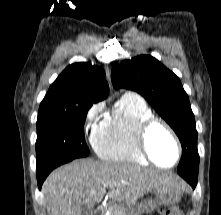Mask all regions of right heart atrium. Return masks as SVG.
I'll list each match as a JSON object with an SVG mask.
<instances>
[{
    "instance_id": "1",
    "label": "right heart atrium",
    "mask_w": 221,
    "mask_h": 215,
    "mask_svg": "<svg viewBox=\"0 0 221 215\" xmlns=\"http://www.w3.org/2000/svg\"><path fill=\"white\" fill-rule=\"evenodd\" d=\"M102 112V104L93 105L86 114L85 124L87 127L94 125Z\"/></svg>"
}]
</instances>
